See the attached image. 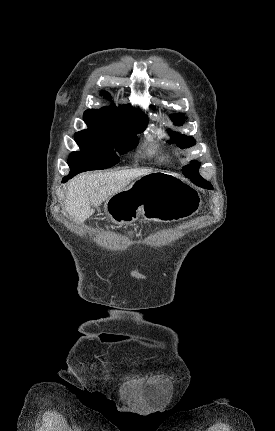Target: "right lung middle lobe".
Here are the masks:
<instances>
[{
  "label": "right lung middle lobe",
  "instance_id": "1",
  "mask_svg": "<svg viewBox=\"0 0 275 431\" xmlns=\"http://www.w3.org/2000/svg\"><path fill=\"white\" fill-rule=\"evenodd\" d=\"M86 124L88 130L75 134V141L81 151L70 154L68 175L116 165L119 162L118 154L122 155L133 149L138 144L136 133L142 132L146 127L131 128L113 121Z\"/></svg>",
  "mask_w": 275,
  "mask_h": 431
}]
</instances>
